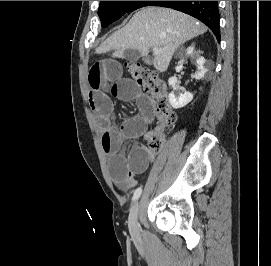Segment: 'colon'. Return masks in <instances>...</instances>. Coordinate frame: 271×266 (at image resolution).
Instances as JSON below:
<instances>
[{
    "label": "colon",
    "instance_id": "colon-1",
    "mask_svg": "<svg viewBox=\"0 0 271 266\" xmlns=\"http://www.w3.org/2000/svg\"><path fill=\"white\" fill-rule=\"evenodd\" d=\"M132 79L152 96V106L162 125H172L176 121V115L172 110L167 85L160 75L140 63L128 62L125 64ZM164 144L162 130L155 131L149 137V147L151 151L158 152Z\"/></svg>",
    "mask_w": 271,
    "mask_h": 266
}]
</instances>
